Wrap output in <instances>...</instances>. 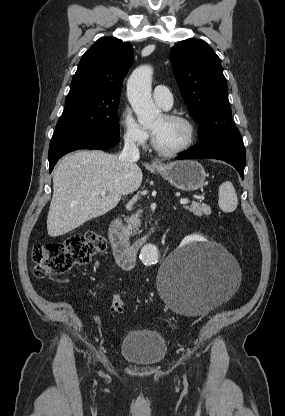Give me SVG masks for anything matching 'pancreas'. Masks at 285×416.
Instances as JSON below:
<instances>
[{
    "mask_svg": "<svg viewBox=\"0 0 285 416\" xmlns=\"http://www.w3.org/2000/svg\"><path fill=\"white\" fill-rule=\"evenodd\" d=\"M185 210H189V212H192L194 216H203V214H206V216H209L211 214V208L210 206H207V204H198V202H192L191 206H184ZM140 214H142V210H138L136 214H133V216H130L127 220V226L126 230L128 232H133V234H137L141 222L139 220Z\"/></svg>",
    "mask_w": 285,
    "mask_h": 416,
    "instance_id": "obj_1",
    "label": "pancreas"
}]
</instances>
